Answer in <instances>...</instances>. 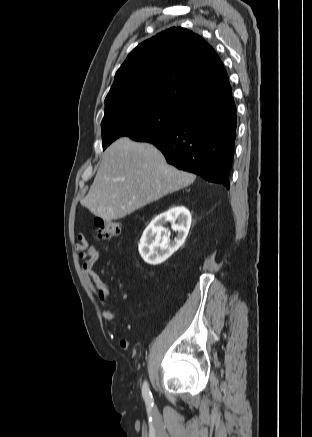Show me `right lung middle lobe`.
Segmentation results:
<instances>
[{"label": "right lung middle lobe", "instance_id": "1", "mask_svg": "<svg viewBox=\"0 0 312 437\" xmlns=\"http://www.w3.org/2000/svg\"><path fill=\"white\" fill-rule=\"evenodd\" d=\"M189 110L161 102H140L123 105L104 115L102 120L103 149L121 136L136 141L158 137L178 127Z\"/></svg>", "mask_w": 312, "mask_h": 437}]
</instances>
